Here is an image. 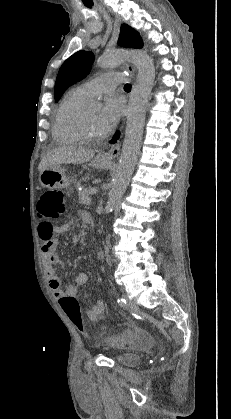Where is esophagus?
Masks as SVG:
<instances>
[{
  "instance_id": "esophagus-1",
  "label": "esophagus",
  "mask_w": 231,
  "mask_h": 419,
  "mask_svg": "<svg viewBox=\"0 0 231 419\" xmlns=\"http://www.w3.org/2000/svg\"><path fill=\"white\" fill-rule=\"evenodd\" d=\"M127 70L132 77L136 74V68L131 63H127ZM120 154V143H116L110 147V149L103 154V157L108 160H113Z\"/></svg>"
}]
</instances>
